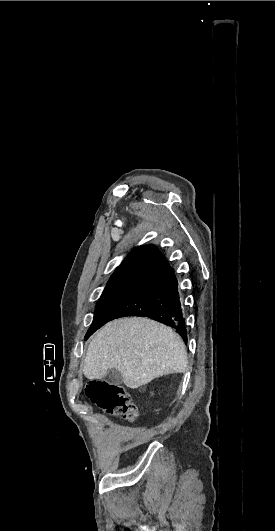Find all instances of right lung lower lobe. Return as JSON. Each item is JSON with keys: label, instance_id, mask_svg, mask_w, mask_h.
<instances>
[{"label": "right lung lower lobe", "instance_id": "obj_1", "mask_svg": "<svg viewBox=\"0 0 275 531\" xmlns=\"http://www.w3.org/2000/svg\"><path fill=\"white\" fill-rule=\"evenodd\" d=\"M125 316L149 317L176 330L187 341L178 282L173 268L161 255L148 266L105 314V323Z\"/></svg>", "mask_w": 275, "mask_h": 531}]
</instances>
